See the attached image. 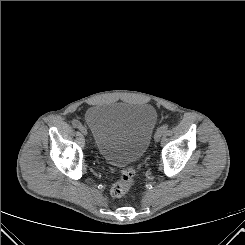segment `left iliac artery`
<instances>
[{
  "mask_svg": "<svg viewBox=\"0 0 245 245\" xmlns=\"http://www.w3.org/2000/svg\"><path fill=\"white\" fill-rule=\"evenodd\" d=\"M169 125L168 124H164L162 125L159 130H161L162 132H165L168 129Z\"/></svg>",
  "mask_w": 245,
  "mask_h": 245,
  "instance_id": "1",
  "label": "left iliac artery"
}]
</instances>
